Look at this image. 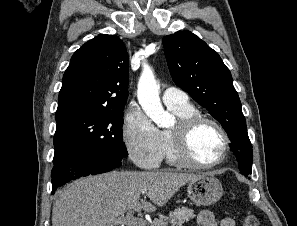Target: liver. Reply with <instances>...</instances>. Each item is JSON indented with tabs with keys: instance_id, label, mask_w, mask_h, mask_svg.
Instances as JSON below:
<instances>
[{
	"instance_id": "liver-1",
	"label": "liver",
	"mask_w": 297,
	"mask_h": 226,
	"mask_svg": "<svg viewBox=\"0 0 297 226\" xmlns=\"http://www.w3.org/2000/svg\"><path fill=\"white\" fill-rule=\"evenodd\" d=\"M204 174L112 171L80 178L59 192L52 226H113L128 210L147 212L165 205L186 183ZM145 194L150 202L141 199Z\"/></svg>"
}]
</instances>
